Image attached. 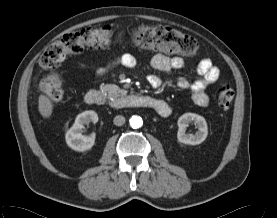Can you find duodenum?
Wrapping results in <instances>:
<instances>
[{"label":"duodenum","instance_id":"1","mask_svg":"<svg viewBox=\"0 0 277 218\" xmlns=\"http://www.w3.org/2000/svg\"><path fill=\"white\" fill-rule=\"evenodd\" d=\"M84 99H85V102L90 105L103 106L107 103L104 93L96 89H91L87 91ZM162 104H163L162 100L155 99L149 95L129 94L121 97L118 101L113 102V108L124 109V108L141 107V108L153 109L158 112V109L162 106ZM169 114H170V109L167 114L165 115L160 114V115L168 116Z\"/></svg>","mask_w":277,"mask_h":218}]
</instances>
